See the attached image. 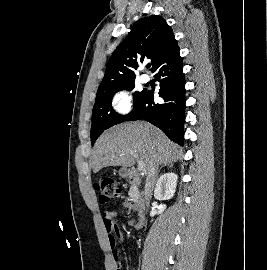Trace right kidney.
<instances>
[{"label":"right kidney","instance_id":"ca27d5eb","mask_svg":"<svg viewBox=\"0 0 267 270\" xmlns=\"http://www.w3.org/2000/svg\"><path fill=\"white\" fill-rule=\"evenodd\" d=\"M178 176L175 173H166L162 175L157 183L154 190V197L157 200H167L174 196Z\"/></svg>","mask_w":267,"mask_h":270}]
</instances>
